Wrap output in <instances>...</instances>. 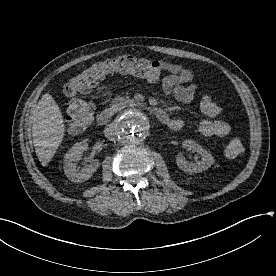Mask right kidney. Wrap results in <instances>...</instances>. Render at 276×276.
Segmentation results:
<instances>
[{
    "instance_id": "obj_1",
    "label": "right kidney",
    "mask_w": 276,
    "mask_h": 276,
    "mask_svg": "<svg viewBox=\"0 0 276 276\" xmlns=\"http://www.w3.org/2000/svg\"><path fill=\"white\" fill-rule=\"evenodd\" d=\"M87 149V142H77L64 156V172L72 182L80 183L90 179L100 165L98 160H93L81 169L77 167V163L80 161L83 152Z\"/></svg>"
}]
</instances>
